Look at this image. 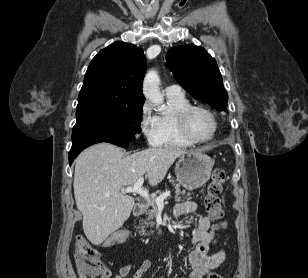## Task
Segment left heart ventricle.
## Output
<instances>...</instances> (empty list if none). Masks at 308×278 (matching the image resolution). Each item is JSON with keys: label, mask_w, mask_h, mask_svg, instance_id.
Returning a JSON list of instances; mask_svg holds the SVG:
<instances>
[{"label": "left heart ventricle", "mask_w": 308, "mask_h": 278, "mask_svg": "<svg viewBox=\"0 0 308 278\" xmlns=\"http://www.w3.org/2000/svg\"><path fill=\"white\" fill-rule=\"evenodd\" d=\"M187 126L190 133L198 138L205 139L213 131V121L211 117L202 110H194L187 118Z\"/></svg>", "instance_id": "left-heart-ventricle-1"}]
</instances>
